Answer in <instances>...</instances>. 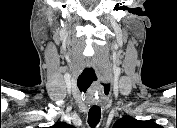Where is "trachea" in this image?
Wrapping results in <instances>:
<instances>
[{"mask_svg":"<svg viewBox=\"0 0 177 128\" xmlns=\"http://www.w3.org/2000/svg\"><path fill=\"white\" fill-rule=\"evenodd\" d=\"M101 118V109L98 106H93L90 108L88 113V124L90 127L94 128L98 125Z\"/></svg>","mask_w":177,"mask_h":128,"instance_id":"trachea-1","label":"trachea"}]
</instances>
